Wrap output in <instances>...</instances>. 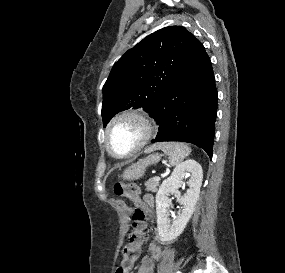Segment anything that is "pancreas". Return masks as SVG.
I'll return each mask as SVG.
<instances>
[{
    "mask_svg": "<svg viewBox=\"0 0 285 273\" xmlns=\"http://www.w3.org/2000/svg\"><path fill=\"white\" fill-rule=\"evenodd\" d=\"M146 190L151 192L157 191V186H159V180H155L154 178L149 179L146 183Z\"/></svg>",
    "mask_w": 285,
    "mask_h": 273,
    "instance_id": "obj_1",
    "label": "pancreas"
}]
</instances>
